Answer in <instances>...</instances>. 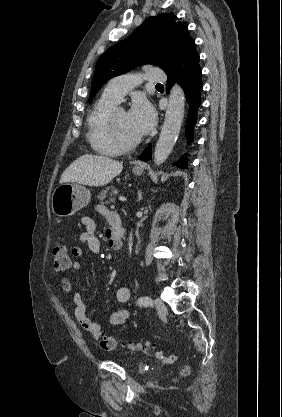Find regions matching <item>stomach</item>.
Returning <instances> with one entry per match:
<instances>
[{
    "instance_id": "obj_1",
    "label": "stomach",
    "mask_w": 282,
    "mask_h": 417,
    "mask_svg": "<svg viewBox=\"0 0 282 417\" xmlns=\"http://www.w3.org/2000/svg\"><path fill=\"white\" fill-rule=\"evenodd\" d=\"M144 166H133L134 174H142ZM91 192L82 184L76 182H63L55 188L52 198V211L57 217H70L76 211L87 206L90 200Z\"/></svg>"
}]
</instances>
